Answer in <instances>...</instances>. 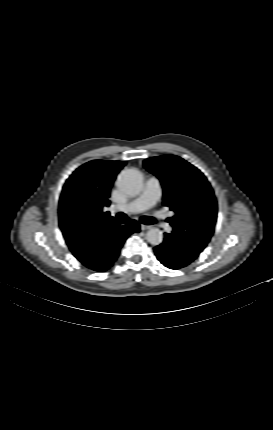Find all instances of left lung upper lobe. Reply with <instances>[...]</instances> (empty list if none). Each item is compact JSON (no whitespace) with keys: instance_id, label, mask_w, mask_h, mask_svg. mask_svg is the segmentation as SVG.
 <instances>
[{"instance_id":"1","label":"left lung upper lobe","mask_w":273,"mask_h":430,"mask_svg":"<svg viewBox=\"0 0 273 430\" xmlns=\"http://www.w3.org/2000/svg\"><path fill=\"white\" fill-rule=\"evenodd\" d=\"M145 168L159 178L163 205L174 212L168 219L178 243L201 253L213 235L217 202L210 183L196 167L175 155L152 157Z\"/></svg>"}]
</instances>
